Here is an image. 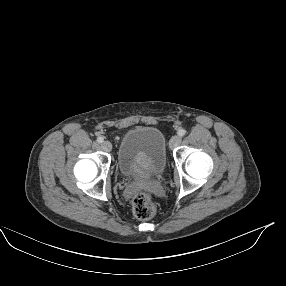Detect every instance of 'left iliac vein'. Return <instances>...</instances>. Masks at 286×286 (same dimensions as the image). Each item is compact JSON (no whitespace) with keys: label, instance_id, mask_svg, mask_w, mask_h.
Here are the masks:
<instances>
[{"label":"left iliac vein","instance_id":"left-iliac-vein-1","mask_svg":"<svg viewBox=\"0 0 286 286\" xmlns=\"http://www.w3.org/2000/svg\"><path fill=\"white\" fill-rule=\"evenodd\" d=\"M181 143V137L179 135H175L171 138L169 146L170 148H174Z\"/></svg>","mask_w":286,"mask_h":286}]
</instances>
